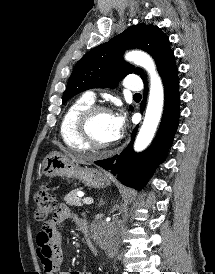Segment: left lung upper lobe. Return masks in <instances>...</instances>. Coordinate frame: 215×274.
<instances>
[{"label": "left lung upper lobe", "instance_id": "5c2ea615", "mask_svg": "<svg viewBox=\"0 0 215 274\" xmlns=\"http://www.w3.org/2000/svg\"><path fill=\"white\" fill-rule=\"evenodd\" d=\"M129 48L149 53L154 58L161 77L176 66L169 38L157 26L144 23L131 26L90 50L77 62L63 96V104L76 94L91 88H113L119 80L134 71L147 83L146 75L140 68L134 69L133 65L122 60L124 51Z\"/></svg>", "mask_w": 215, "mask_h": 274}]
</instances>
